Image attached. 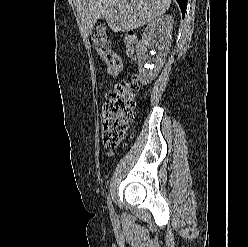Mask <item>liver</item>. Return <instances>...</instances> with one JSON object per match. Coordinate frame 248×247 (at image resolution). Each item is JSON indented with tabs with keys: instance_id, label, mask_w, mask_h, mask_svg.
Returning <instances> with one entry per match:
<instances>
[{
	"instance_id": "6515ba94",
	"label": "liver",
	"mask_w": 248,
	"mask_h": 247,
	"mask_svg": "<svg viewBox=\"0 0 248 247\" xmlns=\"http://www.w3.org/2000/svg\"><path fill=\"white\" fill-rule=\"evenodd\" d=\"M172 0H74L82 23L89 35L94 24L104 18L114 32H125L151 22L164 14Z\"/></svg>"
}]
</instances>
